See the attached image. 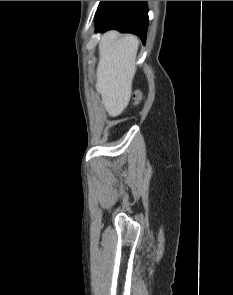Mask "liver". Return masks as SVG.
<instances>
[{"label":"liver","mask_w":233,"mask_h":295,"mask_svg":"<svg viewBox=\"0 0 233 295\" xmlns=\"http://www.w3.org/2000/svg\"><path fill=\"white\" fill-rule=\"evenodd\" d=\"M138 46L136 36H120L117 31L103 34L99 42L96 90L112 117L121 114L130 101Z\"/></svg>","instance_id":"liver-1"}]
</instances>
